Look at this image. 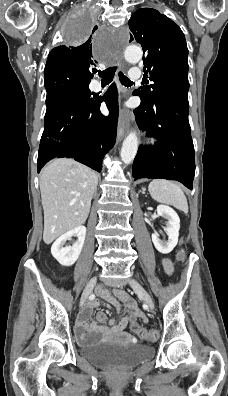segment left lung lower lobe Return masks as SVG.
Returning <instances> with one entry per match:
<instances>
[{
	"instance_id": "0a47b994",
	"label": "left lung lower lobe",
	"mask_w": 228,
	"mask_h": 396,
	"mask_svg": "<svg viewBox=\"0 0 228 396\" xmlns=\"http://www.w3.org/2000/svg\"><path fill=\"white\" fill-rule=\"evenodd\" d=\"M188 113V92H164L151 104L141 101L134 110L137 123L158 142L139 147L132 169L135 180H177L192 189L195 158Z\"/></svg>"
}]
</instances>
